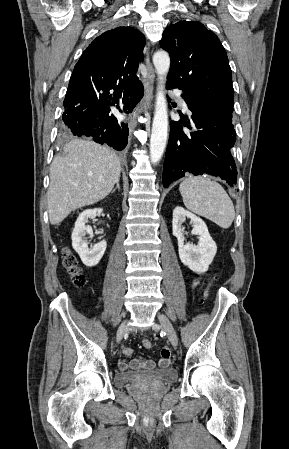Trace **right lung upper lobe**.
<instances>
[{
    "label": "right lung upper lobe",
    "instance_id": "1",
    "mask_svg": "<svg viewBox=\"0 0 289 449\" xmlns=\"http://www.w3.org/2000/svg\"><path fill=\"white\" fill-rule=\"evenodd\" d=\"M145 37L132 27H117L97 37L83 52L71 76L117 84L136 76L143 61Z\"/></svg>",
    "mask_w": 289,
    "mask_h": 449
}]
</instances>
